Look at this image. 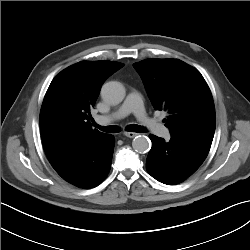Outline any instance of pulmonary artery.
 <instances>
[{
  "label": "pulmonary artery",
  "instance_id": "pulmonary-artery-1",
  "mask_svg": "<svg viewBox=\"0 0 250 250\" xmlns=\"http://www.w3.org/2000/svg\"><path fill=\"white\" fill-rule=\"evenodd\" d=\"M130 113H133L144 127L150 129L157 136L165 139L170 137V131L166 126L147 115L141 95L137 91H131L124 103L115 112L108 115H99L96 117V121L99 124L105 125L115 120L122 119Z\"/></svg>",
  "mask_w": 250,
  "mask_h": 250
}]
</instances>
